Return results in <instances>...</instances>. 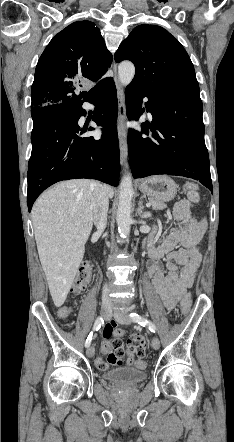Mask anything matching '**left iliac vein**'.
<instances>
[{"label": "left iliac vein", "instance_id": "left-iliac-vein-1", "mask_svg": "<svg viewBox=\"0 0 234 442\" xmlns=\"http://www.w3.org/2000/svg\"><path fill=\"white\" fill-rule=\"evenodd\" d=\"M114 318L120 323V324H130L131 323V318L129 317V315L121 310V309H117L114 311ZM152 347L155 350H158L160 347V341L158 339V337L154 336L152 338V342H151Z\"/></svg>", "mask_w": 234, "mask_h": 442}]
</instances>
